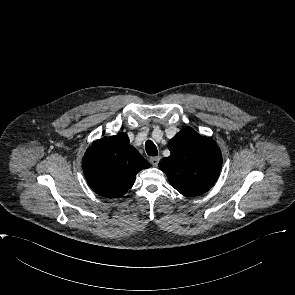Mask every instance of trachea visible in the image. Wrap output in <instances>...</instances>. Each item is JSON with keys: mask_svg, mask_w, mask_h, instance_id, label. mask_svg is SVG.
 <instances>
[{"mask_svg": "<svg viewBox=\"0 0 295 295\" xmlns=\"http://www.w3.org/2000/svg\"><path fill=\"white\" fill-rule=\"evenodd\" d=\"M145 148H146L147 154L149 156H157L158 155L157 148L151 140L146 141Z\"/></svg>", "mask_w": 295, "mask_h": 295, "instance_id": "3493384b", "label": "trachea"}]
</instances>
